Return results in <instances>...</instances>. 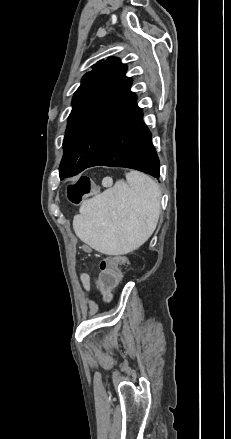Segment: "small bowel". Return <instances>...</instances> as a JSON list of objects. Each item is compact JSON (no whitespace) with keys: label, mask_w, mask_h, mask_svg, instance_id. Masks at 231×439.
Masks as SVG:
<instances>
[{"label":"small bowel","mask_w":231,"mask_h":439,"mask_svg":"<svg viewBox=\"0 0 231 439\" xmlns=\"http://www.w3.org/2000/svg\"><path fill=\"white\" fill-rule=\"evenodd\" d=\"M81 281L83 283V286L85 287V289H89L91 287V280H90V276L87 273L82 274L81 276ZM102 282H99L98 279L95 280V286L100 289V284ZM101 290V289H100Z\"/></svg>","instance_id":"obj_1"}]
</instances>
